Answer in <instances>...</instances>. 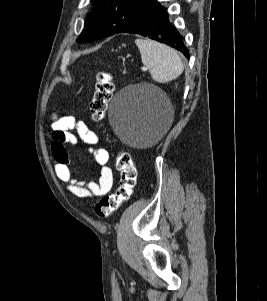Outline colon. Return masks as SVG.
<instances>
[{
    "label": "colon",
    "mask_w": 267,
    "mask_h": 301,
    "mask_svg": "<svg viewBox=\"0 0 267 301\" xmlns=\"http://www.w3.org/2000/svg\"><path fill=\"white\" fill-rule=\"evenodd\" d=\"M114 90L111 73L101 71L97 74L95 92L90 103L93 120L100 121L105 117L108 103ZM116 168L120 172V183L117 190L104 196L95 206V213L100 218L112 215L132 195L136 184L137 170L130 155L121 152L116 156Z\"/></svg>",
    "instance_id": "colon-1"
}]
</instances>
